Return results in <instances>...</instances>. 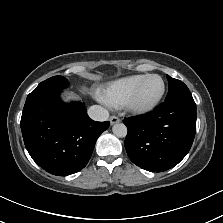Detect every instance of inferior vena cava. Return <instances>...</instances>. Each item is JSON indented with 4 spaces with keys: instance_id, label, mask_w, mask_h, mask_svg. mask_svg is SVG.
<instances>
[{
    "instance_id": "1",
    "label": "inferior vena cava",
    "mask_w": 223,
    "mask_h": 223,
    "mask_svg": "<svg viewBox=\"0 0 223 223\" xmlns=\"http://www.w3.org/2000/svg\"><path fill=\"white\" fill-rule=\"evenodd\" d=\"M88 115L96 121H106L109 118V112L99 105L91 106Z\"/></svg>"
}]
</instances>
